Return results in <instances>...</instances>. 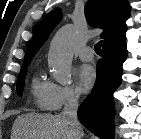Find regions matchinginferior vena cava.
<instances>
[{"instance_id":"obj_1","label":"inferior vena cava","mask_w":141,"mask_h":139,"mask_svg":"<svg viewBox=\"0 0 141 139\" xmlns=\"http://www.w3.org/2000/svg\"><path fill=\"white\" fill-rule=\"evenodd\" d=\"M77 110L78 98L75 94H69L61 112V117L69 123L73 139H81L82 137L81 124L77 117Z\"/></svg>"}]
</instances>
